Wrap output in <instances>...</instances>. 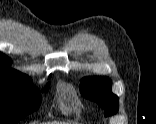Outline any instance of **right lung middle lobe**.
Returning <instances> with one entry per match:
<instances>
[{"label":"right lung middle lobe","mask_w":156,"mask_h":124,"mask_svg":"<svg viewBox=\"0 0 156 124\" xmlns=\"http://www.w3.org/2000/svg\"><path fill=\"white\" fill-rule=\"evenodd\" d=\"M40 104V91L31 84V79L0 76V124L18 122L32 114Z\"/></svg>","instance_id":"dd1d6c3e"}]
</instances>
